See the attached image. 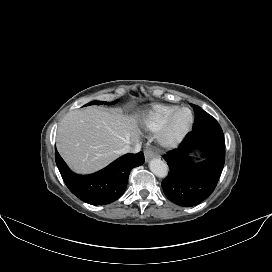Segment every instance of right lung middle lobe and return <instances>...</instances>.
<instances>
[{"label": "right lung middle lobe", "instance_id": "dd1d6c3e", "mask_svg": "<svg viewBox=\"0 0 272 272\" xmlns=\"http://www.w3.org/2000/svg\"><path fill=\"white\" fill-rule=\"evenodd\" d=\"M117 102V100L116 101H114V102H110V103H108V104H113V103H116ZM102 105V104H107L106 102H104V101H93V102H90V103H88V104H86V105H84V106H89V105Z\"/></svg>", "mask_w": 272, "mask_h": 272}]
</instances>
